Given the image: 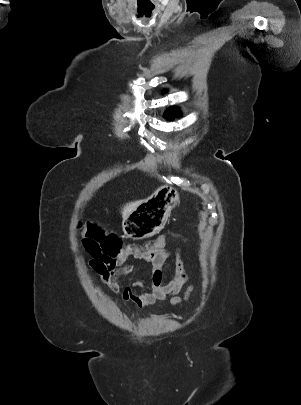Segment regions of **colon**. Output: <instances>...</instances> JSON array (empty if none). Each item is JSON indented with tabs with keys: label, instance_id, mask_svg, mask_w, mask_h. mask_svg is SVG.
<instances>
[{
	"label": "colon",
	"instance_id": "colon-1",
	"mask_svg": "<svg viewBox=\"0 0 301 405\" xmlns=\"http://www.w3.org/2000/svg\"><path fill=\"white\" fill-rule=\"evenodd\" d=\"M81 227V226H80ZM173 226L171 224H163L162 231L156 232L157 238H162L163 236H170ZM83 245L85 249L90 253L94 258H98L103 264L110 265L118 259L123 250L127 247H124L117 235L111 232H107L102 226L97 223H88L83 230ZM183 236L181 234H174L173 238L176 240L181 239ZM178 238V239H177ZM185 240V239H184ZM192 240V239H188ZM132 253H138L141 251L137 247L131 245L128 246ZM159 248L158 242L148 244L146 250L155 252Z\"/></svg>",
	"mask_w": 301,
	"mask_h": 405
}]
</instances>
